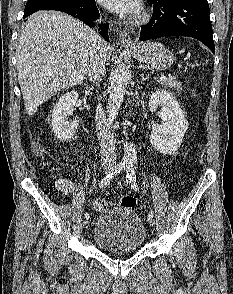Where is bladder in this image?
<instances>
[{"label": "bladder", "instance_id": "obj_1", "mask_svg": "<svg viewBox=\"0 0 233 294\" xmlns=\"http://www.w3.org/2000/svg\"><path fill=\"white\" fill-rule=\"evenodd\" d=\"M92 238L94 244L106 253H133L144 244L146 228L132 208L117 206L105 210L99 216Z\"/></svg>", "mask_w": 233, "mask_h": 294}]
</instances>
